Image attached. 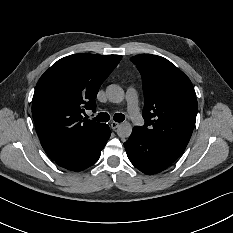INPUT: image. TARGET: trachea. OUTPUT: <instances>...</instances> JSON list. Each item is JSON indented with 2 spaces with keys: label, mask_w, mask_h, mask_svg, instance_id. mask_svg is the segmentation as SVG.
I'll list each match as a JSON object with an SVG mask.
<instances>
[{
  "label": "trachea",
  "mask_w": 233,
  "mask_h": 233,
  "mask_svg": "<svg viewBox=\"0 0 233 233\" xmlns=\"http://www.w3.org/2000/svg\"><path fill=\"white\" fill-rule=\"evenodd\" d=\"M110 119V116L107 113H98L94 120L98 122H107ZM116 122H122L125 119V116L122 113H116L113 117Z\"/></svg>",
  "instance_id": "1"
}]
</instances>
